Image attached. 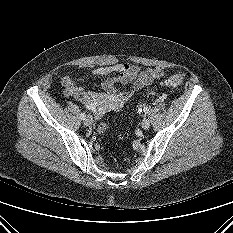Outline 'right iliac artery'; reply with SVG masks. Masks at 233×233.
<instances>
[{"instance_id": "right-iliac-artery-1", "label": "right iliac artery", "mask_w": 233, "mask_h": 233, "mask_svg": "<svg viewBox=\"0 0 233 233\" xmlns=\"http://www.w3.org/2000/svg\"><path fill=\"white\" fill-rule=\"evenodd\" d=\"M80 118L84 120V119L86 118L85 113H81V114H80Z\"/></svg>"}]
</instances>
